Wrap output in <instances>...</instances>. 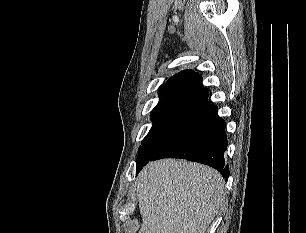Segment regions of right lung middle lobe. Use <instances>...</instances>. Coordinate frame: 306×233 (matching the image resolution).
Here are the masks:
<instances>
[{
    "label": "right lung middle lobe",
    "mask_w": 306,
    "mask_h": 233,
    "mask_svg": "<svg viewBox=\"0 0 306 233\" xmlns=\"http://www.w3.org/2000/svg\"><path fill=\"white\" fill-rule=\"evenodd\" d=\"M203 110L183 102L158 103L151 112L153 125L138 149L136 168L147 163Z\"/></svg>",
    "instance_id": "1"
}]
</instances>
